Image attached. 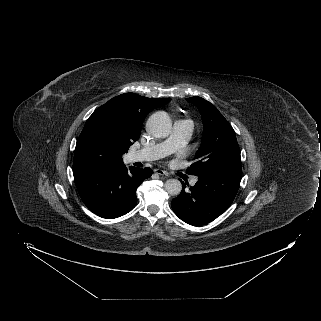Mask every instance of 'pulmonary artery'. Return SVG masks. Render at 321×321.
<instances>
[{"mask_svg": "<svg viewBox=\"0 0 321 321\" xmlns=\"http://www.w3.org/2000/svg\"><path fill=\"white\" fill-rule=\"evenodd\" d=\"M192 133L193 123L190 120H177L167 139L132 152L131 159L134 161H152L164 158L185 146ZM196 182L197 179L194 178L191 180V185H195Z\"/></svg>", "mask_w": 321, "mask_h": 321, "instance_id": "e3ab8cb5", "label": "pulmonary artery"}]
</instances>
